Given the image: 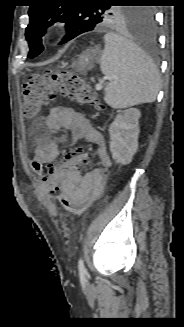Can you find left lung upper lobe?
I'll list each match as a JSON object with an SVG mask.
<instances>
[{"mask_svg":"<svg viewBox=\"0 0 184 327\" xmlns=\"http://www.w3.org/2000/svg\"><path fill=\"white\" fill-rule=\"evenodd\" d=\"M48 0H36L28 11L29 25L25 37L29 43V58L38 56L44 49L42 36L46 28L56 22H64L71 34H82L103 25L127 24L137 26L149 14L141 7H117L112 3H132L135 0H99L87 5L84 0H72L71 4L47 5Z\"/></svg>","mask_w":184,"mask_h":327,"instance_id":"left-lung-upper-lobe-1","label":"left lung upper lobe"}]
</instances>
